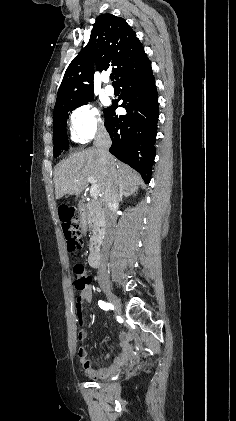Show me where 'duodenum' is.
I'll list each match as a JSON object with an SVG mask.
<instances>
[{
  "label": "duodenum",
  "instance_id": "410a0bca",
  "mask_svg": "<svg viewBox=\"0 0 236 421\" xmlns=\"http://www.w3.org/2000/svg\"><path fill=\"white\" fill-rule=\"evenodd\" d=\"M76 211L80 220H82L83 219L82 215L84 211L83 202H80L77 205ZM89 263L93 268H98L100 266L101 258H100V253L98 249L94 248L90 252ZM122 347H123V353L117 357L113 365L109 367H104L98 370H89L88 375L92 378H104V377L114 374L118 370V368L121 367L128 360V357H129V347L125 341L122 343Z\"/></svg>",
  "mask_w": 236,
  "mask_h": 421
}]
</instances>
